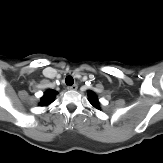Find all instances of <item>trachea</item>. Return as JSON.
Listing matches in <instances>:
<instances>
[{"instance_id":"1","label":"trachea","mask_w":163,"mask_h":163,"mask_svg":"<svg viewBox=\"0 0 163 163\" xmlns=\"http://www.w3.org/2000/svg\"><path fill=\"white\" fill-rule=\"evenodd\" d=\"M65 83L69 86H72L73 83H74V79L72 76H67L66 79H65Z\"/></svg>"}]
</instances>
